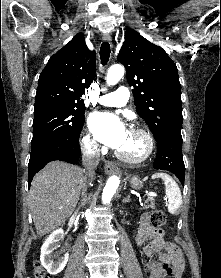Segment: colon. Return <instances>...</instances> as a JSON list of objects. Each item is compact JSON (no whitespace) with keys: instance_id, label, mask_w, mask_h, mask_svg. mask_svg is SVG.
Returning <instances> with one entry per match:
<instances>
[{"instance_id":"5ec220e1","label":"colon","mask_w":221,"mask_h":278,"mask_svg":"<svg viewBox=\"0 0 221 278\" xmlns=\"http://www.w3.org/2000/svg\"><path fill=\"white\" fill-rule=\"evenodd\" d=\"M149 219L151 224L157 227L163 226L166 223V216L160 208H154L149 214ZM163 273L164 278H176L175 270L169 264L163 265ZM34 276L35 278H50L39 263H35Z\"/></svg>"}]
</instances>
